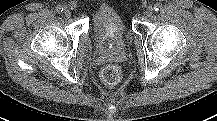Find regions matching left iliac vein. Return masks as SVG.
<instances>
[{"label": "left iliac vein", "instance_id": "4c4485c4", "mask_svg": "<svg viewBox=\"0 0 217 121\" xmlns=\"http://www.w3.org/2000/svg\"><path fill=\"white\" fill-rule=\"evenodd\" d=\"M153 11H154L153 7L149 6L145 11V15L149 17L153 14Z\"/></svg>", "mask_w": 217, "mask_h": 121}]
</instances>
